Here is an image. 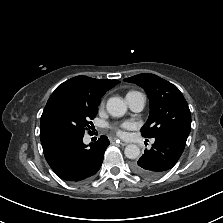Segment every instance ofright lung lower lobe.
<instances>
[{"label": "right lung lower lobe", "instance_id": "1", "mask_svg": "<svg viewBox=\"0 0 223 223\" xmlns=\"http://www.w3.org/2000/svg\"><path fill=\"white\" fill-rule=\"evenodd\" d=\"M84 135L56 134L41 139L45 158L63 180L72 183L88 181L100 169L104 152L109 145L106 136L85 145Z\"/></svg>", "mask_w": 223, "mask_h": 223}]
</instances>
